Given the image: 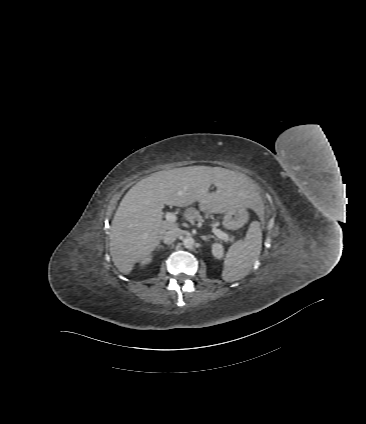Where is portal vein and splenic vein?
I'll return each mask as SVG.
<instances>
[{
  "label": "portal vein and splenic vein",
  "instance_id": "1",
  "mask_svg": "<svg viewBox=\"0 0 366 424\" xmlns=\"http://www.w3.org/2000/svg\"><path fill=\"white\" fill-rule=\"evenodd\" d=\"M165 218H166L165 221L166 222H169V223H174V222H176L178 220V216L176 214L172 213V212H166L165 213ZM212 232L217 237H219V238H221L223 240H228L229 239V236L226 233L220 231L219 229L213 228L212 229Z\"/></svg>",
  "mask_w": 366,
  "mask_h": 424
}]
</instances>
